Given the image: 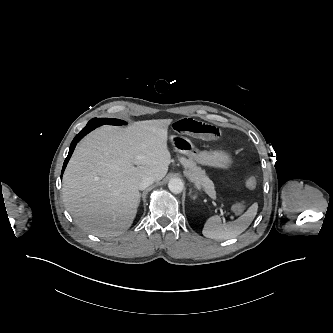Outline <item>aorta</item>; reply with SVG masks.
<instances>
[{
  "mask_svg": "<svg viewBox=\"0 0 333 333\" xmlns=\"http://www.w3.org/2000/svg\"><path fill=\"white\" fill-rule=\"evenodd\" d=\"M168 188L172 193L179 194L184 188V183L179 178H173L169 181Z\"/></svg>",
  "mask_w": 333,
  "mask_h": 333,
  "instance_id": "762f6f07",
  "label": "aorta"
}]
</instances>
